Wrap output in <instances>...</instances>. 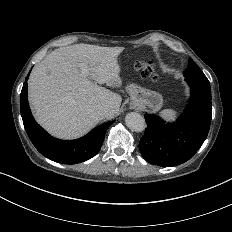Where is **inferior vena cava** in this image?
Listing matches in <instances>:
<instances>
[{
	"label": "inferior vena cava",
	"instance_id": "1",
	"mask_svg": "<svg viewBox=\"0 0 232 232\" xmlns=\"http://www.w3.org/2000/svg\"><path fill=\"white\" fill-rule=\"evenodd\" d=\"M101 112L103 115L107 114V113H110V109L108 106H104L102 109H101Z\"/></svg>",
	"mask_w": 232,
	"mask_h": 232
}]
</instances>
